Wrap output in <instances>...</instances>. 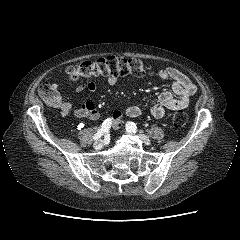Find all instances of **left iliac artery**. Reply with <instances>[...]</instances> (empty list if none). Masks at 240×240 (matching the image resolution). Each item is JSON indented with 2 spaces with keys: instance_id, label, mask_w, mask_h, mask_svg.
<instances>
[{
  "instance_id": "obj_1",
  "label": "left iliac artery",
  "mask_w": 240,
  "mask_h": 240,
  "mask_svg": "<svg viewBox=\"0 0 240 240\" xmlns=\"http://www.w3.org/2000/svg\"><path fill=\"white\" fill-rule=\"evenodd\" d=\"M126 130L128 132L136 133L137 132V126H136V124L134 122L128 121L126 123Z\"/></svg>"
}]
</instances>
